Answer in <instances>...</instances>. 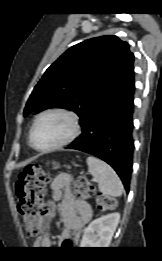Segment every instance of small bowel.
<instances>
[{"label": "small bowel", "instance_id": "c3829d8e", "mask_svg": "<svg viewBox=\"0 0 162 261\" xmlns=\"http://www.w3.org/2000/svg\"><path fill=\"white\" fill-rule=\"evenodd\" d=\"M71 177L68 174L58 175L51 183L52 201L59 203L61 207V217L63 231L60 234V246H66L70 242L71 232H79L92 218V210L89 204L83 200H76L72 197ZM53 213L51 208L45 217V222L49 220ZM35 246L49 249L52 247V240L49 233H44L35 241Z\"/></svg>", "mask_w": 162, "mask_h": 261}]
</instances>
